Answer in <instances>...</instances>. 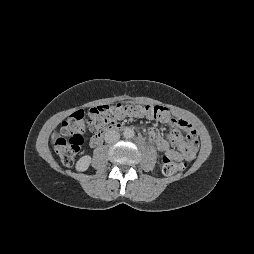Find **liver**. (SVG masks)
<instances>
[{
  "label": "liver",
  "instance_id": "liver-1",
  "mask_svg": "<svg viewBox=\"0 0 254 254\" xmlns=\"http://www.w3.org/2000/svg\"><path fill=\"white\" fill-rule=\"evenodd\" d=\"M54 137H55V134H53L52 138L54 139Z\"/></svg>",
  "mask_w": 254,
  "mask_h": 254
}]
</instances>
